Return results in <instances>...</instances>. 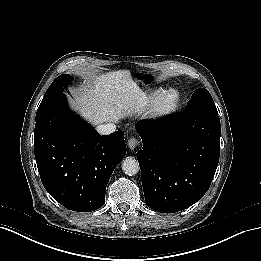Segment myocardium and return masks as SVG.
<instances>
[{"mask_svg": "<svg viewBox=\"0 0 261 261\" xmlns=\"http://www.w3.org/2000/svg\"><path fill=\"white\" fill-rule=\"evenodd\" d=\"M178 101V97L172 92L160 97L148 110L147 117L153 120H159L168 116L176 110Z\"/></svg>", "mask_w": 261, "mask_h": 261, "instance_id": "f54148a6", "label": "myocardium"}]
</instances>
